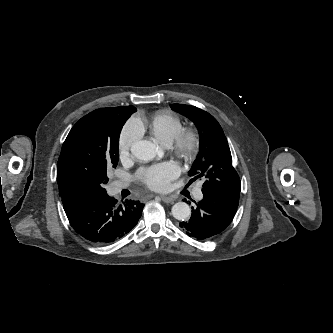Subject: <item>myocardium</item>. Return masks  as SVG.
<instances>
[{
	"label": "myocardium",
	"mask_w": 333,
	"mask_h": 333,
	"mask_svg": "<svg viewBox=\"0 0 333 333\" xmlns=\"http://www.w3.org/2000/svg\"><path fill=\"white\" fill-rule=\"evenodd\" d=\"M173 150L186 161H192L199 154L201 135L195 128H182L173 141Z\"/></svg>",
	"instance_id": "f54148a6"
}]
</instances>
